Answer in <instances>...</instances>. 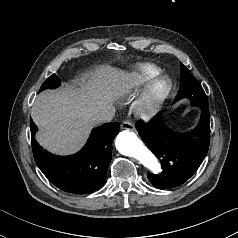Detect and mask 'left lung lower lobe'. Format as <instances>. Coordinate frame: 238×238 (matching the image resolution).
Segmentation results:
<instances>
[{
    "instance_id": "left-lung-lower-lobe-1",
    "label": "left lung lower lobe",
    "mask_w": 238,
    "mask_h": 238,
    "mask_svg": "<svg viewBox=\"0 0 238 238\" xmlns=\"http://www.w3.org/2000/svg\"><path fill=\"white\" fill-rule=\"evenodd\" d=\"M191 104L201 109V117L198 125L188 133L175 134L167 128L160 115L136 125L142 140L162 165L160 174H148L149 181L156 188L180 186L193 176L207 154L210 142L208 103Z\"/></svg>"
}]
</instances>
